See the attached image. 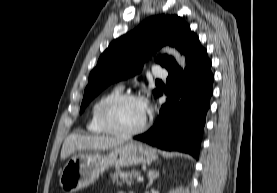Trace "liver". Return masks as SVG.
Listing matches in <instances>:
<instances>
[{
  "mask_svg": "<svg viewBox=\"0 0 277 193\" xmlns=\"http://www.w3.org/2000/svg\"><path fill=\"white\" fill-rule=\"evenodd\" d=\"M124 142L125 140L121 138L71 134L65 139L63 143L60 158L61 160H65L75 151L80 150H108L117 147Z\"/></svg>",
  "mask_w": 277,
  "mask_h": 193,
  "instance_id": "obj_1",
  "label": "liver"
}]
</instances>
